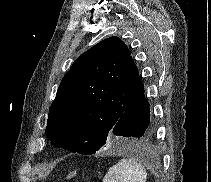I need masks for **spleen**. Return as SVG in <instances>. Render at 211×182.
Masks as SVG:
<instances>
[{"label": "spleen", "instance_id": "obj_1", "mask_svg": "<svg viewBox=\"0 0 211 182\" xmlns=\"http://www.w3.org/2000/svg\"><path fill=\"white\" fill-rule=\"evenodd\" d=\"M145 168L135 159H121L110 167L103 182H146Z\"/></svg>", "mask_w": 211, "mask_h": 182}]
</instances>
